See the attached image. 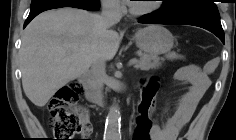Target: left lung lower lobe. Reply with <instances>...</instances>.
<instances>
[{
  "instance_id": "obj_1",
  "label": "left lung lower lobe",
  "mask_w": 236,
  "mask_h": 140,
  "mask_svg": "<svg viewBox=\"0 0 236 140\" xmlns=\"http://www.w3.org/2000/svg\"><path fill=\"white\" fill-rule=\"evenodd\" d=\"M139 22L145 24H183L198 26L215 34L223 43L225 40L220 19L193 15L164 16L161 12H157L141 19Z\"/></svg>"
}]
</instances>
